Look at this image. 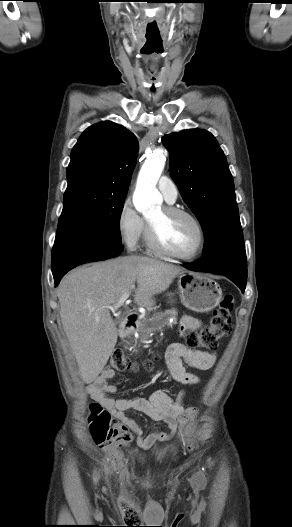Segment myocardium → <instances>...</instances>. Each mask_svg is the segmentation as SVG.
I'll return each instance as SVG.
<instances>
[{"label":"myocardium","mask_w":292,"mask_h":527,"mask_svg":"<svg viewBox=\"0 0 292 527\" xmlns=\"http://www.w3.org/2000/svg\"><path fill=\"white\" fill-rule=\"evenodd\" d=\"M163 211L167 215H182L192 220L198 231L197 245L194 250L188 254H179L173 252L162 244L156 228L149 220H147L146 235L149 247L163 256L177 260L190 261L197 258L203 252L206 245V232L200 219L191 211L176 206L165 205L163 206Z\"/></svg>","instance_id":"obj_1"}]
</instances>
